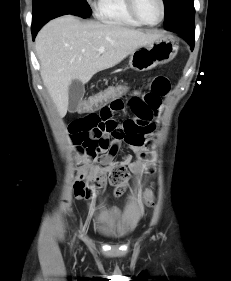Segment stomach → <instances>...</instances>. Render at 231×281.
Returning <instances> with one entry per match:
<instances>
[{"label": "stomach", "mask_w": 231, "mask_h": 281, "mask_svg": "<svg viewBox=\"0 0 231 281\" xmlns=\"http://www.w3.org/2000/svg\"><path fill=\"white\" fill-rule=\"evenodd\" d=\"M178 46L171 36H162L153 43L139 47L129 57V66L135 71H147L157 65L170 62L177 54Z\"/></svg>", "instance_id": "stomach-1"}]
</instances>
